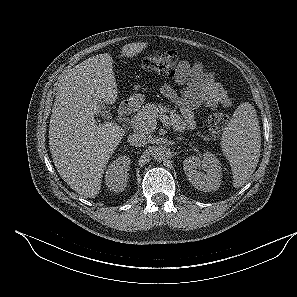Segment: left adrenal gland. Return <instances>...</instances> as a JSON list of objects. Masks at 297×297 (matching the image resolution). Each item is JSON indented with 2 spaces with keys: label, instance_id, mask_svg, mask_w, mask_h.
I'll list each match as a JSON object with an SVG mask.
<instances>
[{
  "label": "left adrenal gland",
  "instance_id": "left-adrenal-gland-1",
  "mask_svg": "<svg viewBox=\"0 0 297 297\" xmlns=\"http://www.w3.org/2000/svg\"><path fill=\"white\" fill-rule=\"evenodd\" d=\"M182 139H183V138H181V137H178V138H177V140H182Z\"/></svg>",
  "mask_w": 297,
  "mask_h": 297
}]
</instances>
